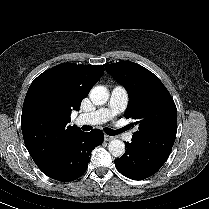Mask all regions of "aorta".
<instances>
[{
	"instance_id": "obj_1",
	"label": "aorta",
	"mask_w": 209,
	"mask_h": 209,
	"mask_svg": "<svg viewBox=\"0 0 209 209\" xmlns=\"http://www.w3.org/2000/svg\"><path fill=\"white\" fill-rule=\"evenodd\" d=\"M109 98V92L104 86H95L90 91V99L95 105H103ZM108 150L114 157H121L125 153V144L121 140L114 139L109 142Z\"/></svg>"
}]
</instances>
